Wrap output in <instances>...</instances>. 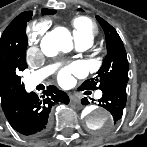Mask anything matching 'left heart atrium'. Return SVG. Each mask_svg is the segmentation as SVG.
<instances>
[{
	"label": "left heart atrium",
	"instance_id": "1",
	"mask_svg": "<svg viewBox=\"0 0 147 147\" xmlns=\"http://www.w3.org/2000/svg\"><path fill=\"white\" fill-rule=\"evenodd\" d=\"M82 73V65L79 63L72 64L69 67L62 69L58 74V81L61 85L67 86L71 84L73 75H80Z\"/></svg>",
	"mask_w": 147,
	"mask_h": 147
}]
</instances>
